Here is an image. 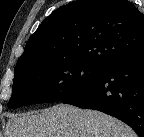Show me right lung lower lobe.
<instances>
[{
	"label": "right lung lower lobe",
	"instance_id": "obj_1",
	"mask_svg": "<svg viewBox=\"0 0 144 137\" xmlns=\"http://www.w3.org/2000/svg\"><path fill=\"white\" fill-rule=\"evenodd\" d=\"M62 102L112 115L144 137V49L112 63L101 77Z\"/></svg>",
	"mask_w": 144,
	"mask_h": 137
}]
</instances>
